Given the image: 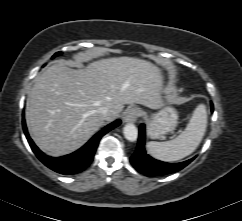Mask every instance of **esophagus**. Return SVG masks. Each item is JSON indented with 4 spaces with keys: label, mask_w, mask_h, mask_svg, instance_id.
I'll list each match as a JSON object with an SVG mask.
<instances>
[{
    "label": "esophagus",
    "mask_w": 242,
    "mask_h": 221,
    "mask_svg": "<svg viewBox=\"0 0 242 221\" xmlns=\"http://www.w3.org/2000/svg\"><path fill=\"white\" fill-rule=\"evenodd\" d=\"M140 109L136 107H131L125 111L123 114V120L124 122H135L136 119L140 116Z\"/></svg>",
    "instance_id": "esophagus-1"
}]
</instances>
